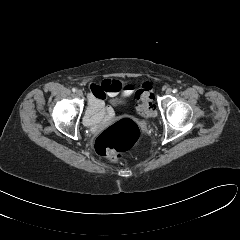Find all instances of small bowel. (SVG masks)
<instances>
[{"label": "small bowel", "mask_w": 240, "mask_h": 240, "mask_svg": "<svg viewBox=\"0 0 240 240\" xmlns=\"http://www.w3.org/2000/svg\"><path fill=\"white\" fill-rule=\"evenodd\" d=\"M132 93V85H123L118 80L106 79L99 84H91L88 95L89 106L84 117L85 124L95 128L101 122H109L113 118L114 112L111 107L105 106L106 98L118 95L128 97Z\"/></svg>", "instance_id": "c3829d8e"}]
</instances>
